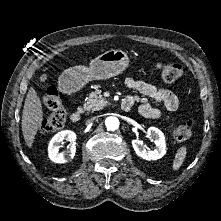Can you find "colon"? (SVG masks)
<instances>
[{
  "mask_svg": "<svg viewBox=\"0 0 221 221\" xmlns=\"http://www.w3.org/2000/svg\"><path fill=\"white\" fill-rule=\"evenodd\" d=\"M157 70L161 77L166 82L177 81L182 75V68L176 63H159ZM44 103L50 110V114L41 123V131L43 133H54L62 128L64 125L67 112L61 102L60 96L54 87L46 89ZM195 121L189 118L186 123L171 128V135L176 141L187 140L194 129Z\"/></svg>",
  "mask_w": 221,
  "mask_h": 221,
  "instance_id": "colon-1",
  "label": "colon"
}]
</instances>
